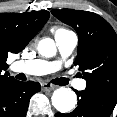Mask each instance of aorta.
Returning a JSON list of instances; mask_svg holds the SVG:
<instances>
[{
    "mask_svg": "<svg viewBox=\"0 0 117 117\" xmlns=\"http://www.w3.org/2000/svg\"><path fill=\"white\" fill-rule=\"evenodd\" d=\"M38 52L43 57H53L56 54L55 42L46 38L39 42ZM52 105L61 113L70 112L77 103V96L70 88L61 87L53 92Z\"/></svg>",
    "mask_w": 117,
    "mask_h": 117,
    "instance_id": "obj_1",
    "label": "aorta"
}]
</instances>
